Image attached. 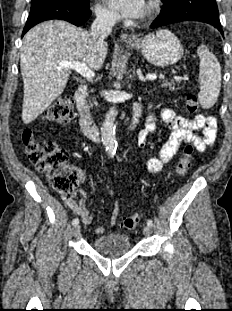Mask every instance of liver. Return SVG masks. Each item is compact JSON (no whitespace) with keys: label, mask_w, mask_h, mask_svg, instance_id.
I'll use <instances>...</instances> for the list:
<instances>
[{"label":"liver","mask_w":232,"mask_h":311,"mask_svg":"<svg viewBox=\"0 0 232 311\" xmlns=\"http://www.w3.org/2000/svg\"><path fill=\"white\" fill-rule=\"evenodd\" d=\"M108 44L65 21H47L24 36L20 55L24 83L22 120L29 124L64 91L69 74L61 61L85 63L98 70L104 63Z\"/></svg>","instance_id":"obj_1"}]
</instances>
